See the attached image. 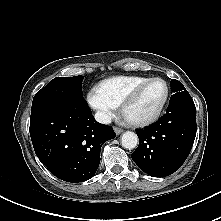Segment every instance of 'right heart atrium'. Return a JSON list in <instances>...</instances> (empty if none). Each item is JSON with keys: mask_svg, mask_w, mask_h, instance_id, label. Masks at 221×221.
I'll return each instance as SVG.
<instances>
[{"mask_svg": "<svg viewBox=\"0 0 221 221\" xmlns=\"http://www.w3.org/2000/svg\"><path fill=\"white\" fill-rule=\"evenodd\" d=\"M86 101L95 111L97 120L102 123H109L118 112V105L111 101L99 87H92L88 91Z\"/></svg>", "mask_w": 221, "mask_h": 221, "instance_id": "1", "label": "right heart atrium"}]
</instances>
